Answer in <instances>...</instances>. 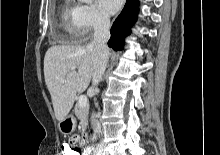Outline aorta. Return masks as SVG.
Wrapping results in <instances>:
<instances>
[{
  "mask_svg": "<svg viewBox=\"0 0 220 155\" xmlns=\"http://www.w3.org/2000/svg\"><path fill=\"white\" fill-rule=\"evenodd\" d=\"M84 2H86V3H91L92 2V0H83ZM92 121L94 122V116L92 117Z\"/></svg>",
  "mask_w": 220,
  "mask_h": 155,
  "instance_id": "aorta-1",
  "label": "aorta"
}]
</instances>
